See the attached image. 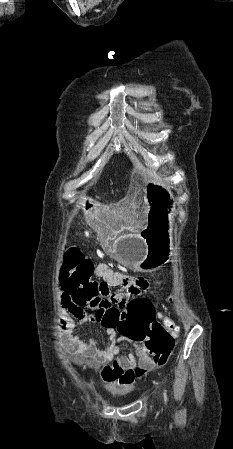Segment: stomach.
<instances>
[{"label": "stomach", "instance_id": "obj_1", "mask_svg": "<svg viewBox=\"0 0 233 449\" xmlns=\"http://www.w3.org/2000/svg\"><path fill=\"white\" fill-rule=\"evenodd\" d=\"M171 193L150 184L146 198L150 204L146 223L139 212H105L97 205L84 207L89 223L103 230V249L119 263L136 272H153L165 264L173 249ZM108 210H131V201H108ZM140 232V233H135Z\"/></svg>", "mask_w": 233, "mask_h": 449}]
</instances>
